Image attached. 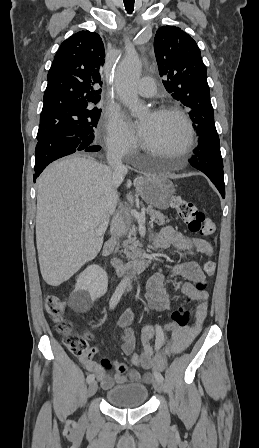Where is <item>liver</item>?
<instances>
[{"label": "liver", "mask_w": 259, "mask_h": 448, "mask_svg": "<svg viewBox=\"0 0 259 448\" xmlns=\"http://www.w3.org/2000/svg\"><path fill=\"white\" fill-rule=\"evenodd\" d=\"M120 178L95 158L75 154L37 178L36 244L46 284L60 286L99 254L103 238L96 228L117 208Z\"/></svg>", "instance_id": "6515ba94"}]
</instances>
